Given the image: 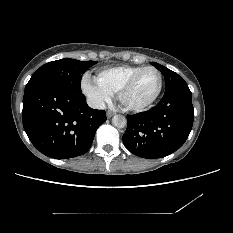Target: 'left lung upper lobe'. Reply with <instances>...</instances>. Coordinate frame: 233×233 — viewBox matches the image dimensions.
Listing matches in <instances>:
<instances>
[{
  "instance_id": "left-lung-upper-lobe-1",
  "label": "left lung upper lobe",
  "mask_w": 233,
  "mask_h": 233,
  "mask_svg": "<svg viewBox=\"0 0 233 233\" xmlns=\"http://www.w3.org/2000/svg\"><path fill=\"white\" fill-rule=\"evenodd\" d=\"M152 65H154L164 75L165 91H168L179 84L186 83L181 76H179L177 73L173 72L172 70L162 65H159L158 63L155 62H152Z\"/></svg>"
}]
</instances>
